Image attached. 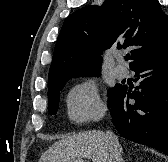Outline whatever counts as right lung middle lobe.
I'll return each mask as SVG.
<instances>
[{
	"instance_id": "right-lung-middle-lobe-1",
	"label": "right lung middle lobe",
	"mask_w": 168,
	"mask_h": 162,
	"mask_svg": "<svg viewBox=\"0 0 168 162\" xmlns=\"http://www.w3.org/2000/svg\"><path fill=\"white\" fill-rule=\"evenodd\" d=\"M96 74L98 75L99 71L88 72L83 76H91V75L94 76ZM68 80L69 79L61 80L48 85V89H49L48 90V99H49L48 110L51 115L56 114L58 110L60 91L64 87L65 82ZM119 87H120L119 85H116L115 87L108 90V106L113 101Z\"/></svg>"
}]
</instances>
